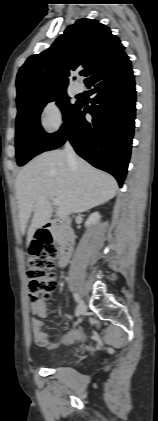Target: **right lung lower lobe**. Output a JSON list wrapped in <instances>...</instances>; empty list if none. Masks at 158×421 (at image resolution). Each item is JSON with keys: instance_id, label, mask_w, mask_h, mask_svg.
<instances>
[{"instance_id": "98d812e1", "label": "right lung lower lobe", "mask_w": 158, "mask_h": 421, "mask_svg": "<svg viewBox=\"0 0 158 421\" xmlns=\"http://www.w3.org/2000/svg\"><path fill=\"white\" fill-rule=\"evenodd\" d=\"M94 87L92 105L77 107L44 151L56 149L68 139L75 151L96 168L112 174L122 187L127 173L134 132L136 91L126 53L105 64L86 83ZM92 120L87 121L85 114Z\"/></svg>"}]
</instances>
